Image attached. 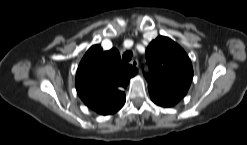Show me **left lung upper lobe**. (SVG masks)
Returning a JSON list of instances; mask_svg holds the SVG:
<instances>
[{
	"instance_id": "1",
	"label": "left lung upper lobe",
	"mask_w": 247,
	"mask_h": 145,
	"mask_svg": "<svg viewBox=\"0 0 247 145\" xmlns=\"http://www.w3.org/2000/svg\"><path fill=\"white\" fill-rule=\"evenodd\" d=\"M150 72L148 88L183 98L193 78L191 61L185 51L168 37L158 36L146 49Z\"/></svg>"
}]
</instances>
